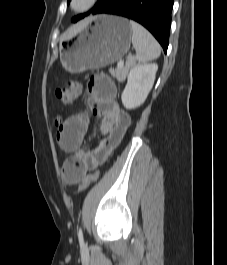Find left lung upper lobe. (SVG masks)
<instances>
[{
	"mask_svg": "<svg viewBox=\"0 0 227 265\" xmlns=\"http://www.w3.org/2000/svg\"><path fill=\"white\" fill-rule=\"evenodd\" d=\"M71 0H67V2L69 3ZM107 0H98V2L96 3V5L94 6V8L91 10V12L95 11L97 8H99L102 4H104ZM88 14V13H87ZM84 17V15H79L77 17H75L73 19V22H76L78 19Z\"/></svg>",
	"mask_w": 227,
	"mask_h": 265,
	"instance_id": "obj_1",
	"label": "left lung upper lobe"
}]
</instances>
